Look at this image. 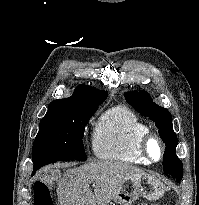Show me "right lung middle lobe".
Masks as SVG:
<instances>
[{
  "label": "right lung middle lobe",
  "instance_id": "obj_1",
  "mask_svg": "<svg viewBox=\"0 0 199 205\" xmlns=\"http://www.w3.org/2000/svg\"><path fill=\"white\" fill-rule=\"evenodd\" d=\"M104 101H81L48 110L33 143L32 174L57 161L87 159L82 141L85 126Z\"/></svg>",
  "mask_w": 199,
  "mask_h": 205
}]
</instances>
